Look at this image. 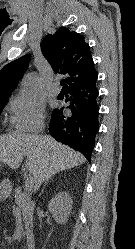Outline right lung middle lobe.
<instances>
[{
	"label": "right lung middle lobe",
	"instance_id": "dd1d6c3e",
	"mask_svg": "<svg viewBox=\"0 0 135 249\" xmlns=\"http://www.w3.org/2000/svg\"><path fill=\"white\" fill-rule=\"evenodd\" d=\"M6 103H7V99L0 101V113L3 110V107L5 106Z\"/></svg>",
	"mask_w": 135,
	"mask_h": 249
}]
</instances>
